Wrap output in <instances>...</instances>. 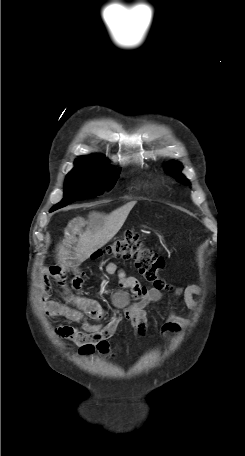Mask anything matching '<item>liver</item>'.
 <instances>
[{
  "instance_id": "6515ba94",
  "label": "liver",
  "mask_w": 245,
  "mask_h": 456,
  "mask_svg": "<svg viewBox=\"0 0 245 456\" xmlns=\"http://www.w3.org/2000/svg\"><path fill=\"white\" fill-rule=\"evenodd\" d=\"M135 204L136 201L128 202L105 217L101 226H97L95 229L87 228L83 233H80L77 244L74 247V259L78 263H82L96 250L106 245L121 229ZM57 251L58 264L64 268L67 266L69 255L65 243L60 244Z\"/></svg>"
}]
</instances>
